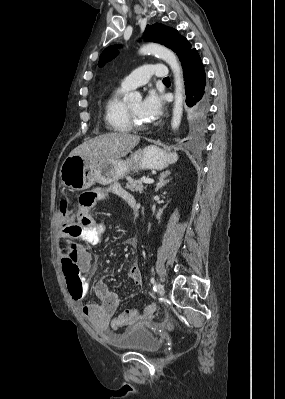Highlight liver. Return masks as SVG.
Masks as SVG:
<instances>
[{
  "label": "liver",
  "mask_w": 285,
  "mask_h": 399,
  "mask_svg": "<svg viewBox=\"0 0 285 399\" xmlns=\"http://www.w3.org/2000/svg\"><path fill=\"white\" fill-rule=\"evenodd\" d=\"M139 141V136L129 133H105L82 143L69 156L79 155L92 162L116 160L125 157Z\"/></svg>",
  "instance_id": "1"
}]
</instances>
